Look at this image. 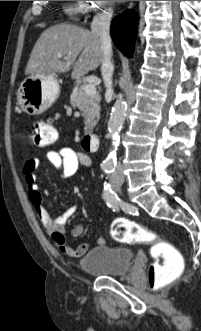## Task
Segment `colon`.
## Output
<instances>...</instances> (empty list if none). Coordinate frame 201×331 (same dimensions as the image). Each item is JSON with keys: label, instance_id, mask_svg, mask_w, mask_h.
<instances>
[{"label": "colon", "instance_id": "1", "mask_svg": "<svg viewBox=\"0 0 201 331\" xmlns=\"http://www.w3.org/2000/svg\"><path fill=\"white\" fill-rule=\"evenodd\" d=\"M33 142L38 146H48L56 141V130L49 120H36L31 127ZM111 237L120 243H153L151 254L154 262L148 269L151 289L160 291L175 281L182 273L181 254L168 242L159 239L153 231L125 218L113 221Z\"/></svg>", "mask_w": 201, "mask_h": 331}]
</instances>
